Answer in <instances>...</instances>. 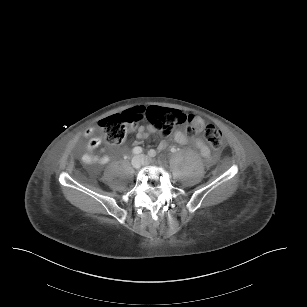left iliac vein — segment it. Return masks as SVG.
Wrapping results in <instances>:
<instances>
[{"instance_id": "1", "label": "left iliac vein", "mask_w": 307, "mask_h": 307, "mask_svg": "<svg viewBox=\"0 0 307 307\" xmlns=\"http://www.w3.org/2000/svg\"><path fill=\"white\" fill-rule=\"evenodd\" d=\"M139 157L142 160V165H148V164L152 163V159H150L149 157H147L145 155H140Z\"/></svg>"}]
</instances>
